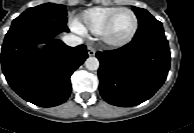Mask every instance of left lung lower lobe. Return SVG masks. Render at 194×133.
Listing matches in <instances>:
<instances>
[{"label":"left lung lower lobe","mask_w":194,"mask_h":133,"mask_svg":"<svg viewBox=\"0 0 194 133\" xmlns=\"http://www.w3.org/2000/svg\"><path fill=\"white\" fill-rule=\"evenodd\" d=\"M98 76L103 99L115 106L131 107L154 95L166 80L170 51L162 23L139 25L130 43L111 51L97 52Z\"/></svg>","instance_id":"obj_1"}]
</instances>
